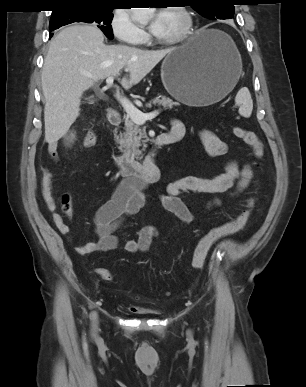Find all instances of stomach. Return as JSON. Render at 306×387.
<instances>
[{
  "label": "stomach",
  "instance_id": "0dacf381",
  "mask_svg": "<svg viewBox=\"0 0 306 387\" xmlns=\"http://www.w3.org/2000/svg\"><path fill=\"white\" fill-rule=\"evenodd\" d=\"M241 71V56L233 40L222 31L200 29L165 57L161 79L181 103L208 106L232 91Z\"/></svg>",
  "mask_w": 306,
  "mask_h": 387
}]
</instances>
